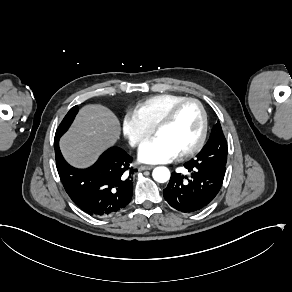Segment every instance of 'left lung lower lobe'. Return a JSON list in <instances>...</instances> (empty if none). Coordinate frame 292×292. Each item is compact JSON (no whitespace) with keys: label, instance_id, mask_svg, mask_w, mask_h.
<instances>
[{"label":"left lung lower lobe","instance_id":"left-lung-lower-lobe-1","mask_svg":"<svg viewBox=\"0 0 292 292\" xmlns=\"http://www.w3.org/2000/svg\"><path fill=\"white\" fill-rule=\"evenodd\" d=\"M184 167L190 177L173 172L163 190L170 206L183 213H192L206 207L221 189L226 168H205L201 163L190 160Z\"/></svg>","mask_w":292,"mask_h":292}]
</instances>
